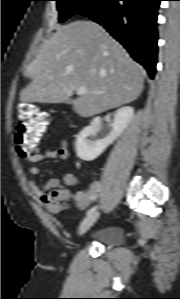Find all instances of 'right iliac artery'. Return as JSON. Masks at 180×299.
Instances as JSON below:
<instances>
[{
    "label": "right iliac artery",
    "instance_id": "82829eb1",
    "mask_svg": "<svg viewBox=\"0 0 180 299\" xmlns=\"http://www.w3.org/2000/svg\"><path fill=\"white\" fill-rule=\"evenodd\" d=\"M97 208H98V206H93V207H91V208L87 211L86 214L89 215V214L95 212Z\"/></svg>",
    "mask_w": 180,
    "mask_h": 299
}]
</instances>
